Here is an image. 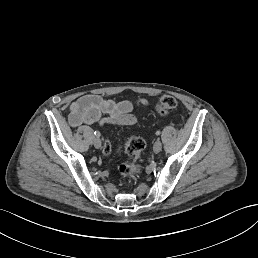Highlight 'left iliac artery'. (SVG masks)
<instances>
[{
	"mask_svg": "<svg viewBox=\"0 0 258 258\" xmlns=\"http://www.w3.org/2000/svg\"><path fill=\"white\" fill-rule=\"evenodd\" d=\"M160 134H161V131H159V130L156 131V133H155V135H157V136L160 135Z\"/></svg>",
	"mask_w": 258,
	"mask_h": 258,
	"instance_id": "44dca946",
	"label": "left iliac artery"
}]
</instances>
